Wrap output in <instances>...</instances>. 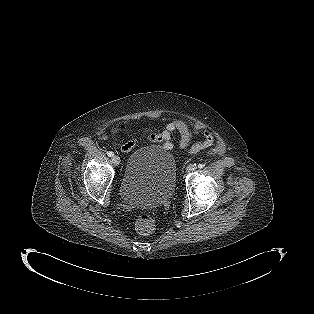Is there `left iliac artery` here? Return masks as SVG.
Segmentation results:
<instances>
[{"instance_id": "44dca946", "label": "left iliac artery", "mask_w": 314, "mask_h": 314, "mask_svg": "<svg viewBox=\"0 0 314 314\" xmlns=\"http://www.w3.org/2000/svg\"><path fill=\"white\" fill-rule=\"evenodd\" d=\"M204 166H205L204 164H199V165H198V168L201 169V168H203Z\"/></svg>"}]
</instances>
